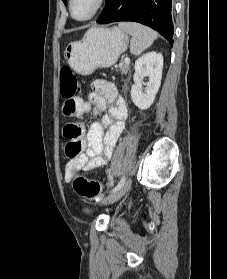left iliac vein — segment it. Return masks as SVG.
<instances>
[{
  "instance_id": "obj_1",
  "label": "left iliac vein",
  "mask_w": 227,
  "mask_h": 279,
  "mask_svg": "<svg viewBox=\"0 0 227 279\" xmlns=\"http://www.w3.org/2000/svg\"><path fill=\"white\" fill-rule=\"evenodd\" d=\"M131 183L132 180L128 179L120 189L113 192L106 199H104L103 204L107 205L120 200L129 191Z\"/></svg>"
}]
</instances>
